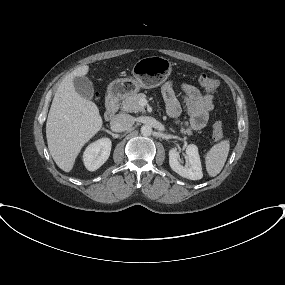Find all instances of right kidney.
Here are the masks:
<instances>
[{
  "instance_id": "obj_1",
  "label": "right kidney",
  "mask_w": 285,
  "mask_h": 285,
  "mask_svg": "<svg viewBox=\"0 0 285 285\" xmlns=\"http://www.w3.org/2000/svg\"><path fill=\"white\" fill-rule=\"evenodd\" d=\"M111 146L109 138H102L91 143L83 154L85 167L89 171H95L100 168L109 158Z\"/></svg>"
}]
</instances>
